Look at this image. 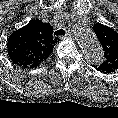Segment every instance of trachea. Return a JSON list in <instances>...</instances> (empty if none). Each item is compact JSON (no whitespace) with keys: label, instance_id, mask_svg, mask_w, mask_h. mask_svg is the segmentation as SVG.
<instances>
[{"label":"trachea","instance_id":"1","mask_svg":"<svg viewBox=\"0 0 118 118\" xmlns=\"http://www.w3.org/2000/svg\"><path fill=\"white\" fill-rule=\"evenodd\" d=\"M66 34L64 29H59L57 31L54 32V35H61L64 36Z\"/></svg>","mask_w":118,"mask_h":118}]
</instances>
